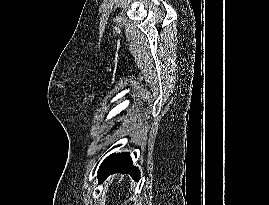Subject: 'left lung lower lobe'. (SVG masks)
<instances>
[{
	"mask_svg": "<svg viewBox=\"0 0 269 205\" xmlns=\"http://www.w3.org/2000/svg\"><path fill=\"white\" fill-rule=\"evenodd\" d=\"M114 173L130 174L134 180H139V170L132 164L129 153L112 154L108 156L101 164L98 171V179L101 183L109 175Z\"/></svg>",
	"mask_w": 269,
	"mask_h": 205,
	"instance_id": "obj_1",
	"label": "left lung lower lobe"
}]
</instances>
